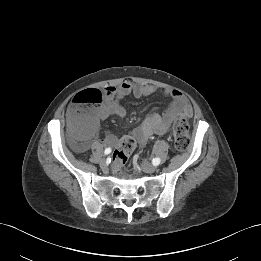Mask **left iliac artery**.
Returning a JSON list of instances; mask_svg holds the SVG:
<instances>
[{
    "instance_id": "1",
    "label": "left iliac artery",
    "mask_w": 261,
    "mask_h": 261,
    "mask_svg": "<svg viewBox=\"0 0 261 261\" xmlns=\"http://www.w3.org/2000/svg\"><path fill=\"white\" fill-rule=\"evenodd\" d=\"M160 162H161V159L160 158H155V159H153V161H152V163H153V165H155V166H157V165H159L160 164Z\"/></svg>"
}]
</instances>
